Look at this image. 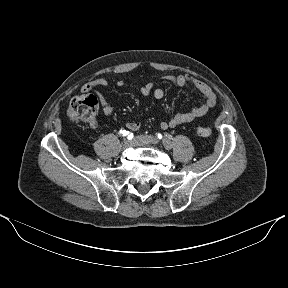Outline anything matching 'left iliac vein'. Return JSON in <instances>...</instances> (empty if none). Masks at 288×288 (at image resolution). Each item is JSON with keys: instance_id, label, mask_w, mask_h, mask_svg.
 Returning <instances> with one entry per match:
<instances>
[{"instance_id": "obj_1", "label": "left iliac vein", "mask_w": 288, "mask_h": 288, "mask_svg": "<svg viewBox=\"0 0 288 288\" xmlns=\"http://www.w3.org/2000/svg\"><path fill=\"white\" fill-rule=\"evenodd\" d=\"M141 140L143 141V143H146V144H156V143L159 142V140L156 137L151 136V135L143 136L141 138ZM162 143H163V145H164V147L166 149H170L171 148V143H170L169 140L165 139V140L162 141Z\"/></svg>"}]
</instances>
